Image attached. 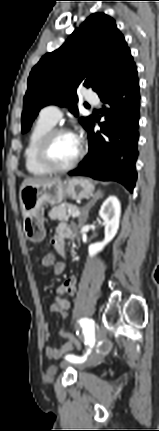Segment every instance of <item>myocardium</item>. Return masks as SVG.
I'll return each instance as SVG.
<instances>
[{
  "label": "myocardium",
  "mask_w": 159,
  "mask_h": 431,
  "mask_svg": "<svg viewBox=\"0 0 159 431\" xmlns=\"http://www.w3.org/2000/svg\"><path fill=\"white\" fill-rule=\"evenodd\" d=\"M63 133H71V131L68 128L65 127H53L51 128L41 139L39 142L38 148H37V159L39 163L45 167L50 172L54 173H61V172H67L74 167L77 166V164L81 161L83 155H84V149L80 145L79 151L77 156L74 158L72 162H70L67 165L59 166L55 164L50 156V148L54 141V139Z\"/></svg>",
  "instance_id": "1"
}]
</instances>
